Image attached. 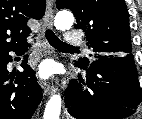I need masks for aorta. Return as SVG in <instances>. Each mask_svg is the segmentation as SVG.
I'll list each match as a JSON object with an SVG mask.
<instances>
[{
	"mask_svg": "<svg viewBox=\"0 0 142 119\" xmlns=\"http://www.w3.org/2000/svg\"><path fill=\"white\" fill-rule=\"evenodd\" d=\"M73 23V14L65 10L57 13L54 19V26L60 31L70 29ZM61 102V96L59 94H54L46 104L43 119H59Z\"/></svg>",
	"mask_w": 142,
	"mask_h": 119,
	"instance_id": "aorta-1",
	"label": "aorta"
}]
</instances>
